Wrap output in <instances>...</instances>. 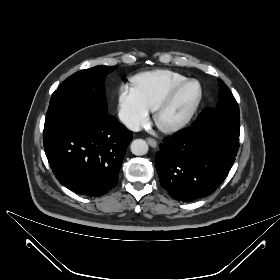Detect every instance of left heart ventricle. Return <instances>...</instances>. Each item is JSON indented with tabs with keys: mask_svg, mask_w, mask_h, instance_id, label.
I'll use <instances>...</instances> for the list:
<instances>
[{
	"mask_svg": "<svg viewBox=\"0 0 280 280\" xmlns=\"http://www.w3.org/2000/svg\"><path fill=\"white\" fill-rule=\"evenodd\" d=\"M198 94V86L190 84L184 87L175 97L173 102L160 115L159 121L166 125L175 122L186 114L195 101Z\"/></svg>",
	"mask_w": 280,
	"mask_h": 280,
	"instance_id": "b2bd125f",
	"label": "left heart ventricle"
}]
</instances>
